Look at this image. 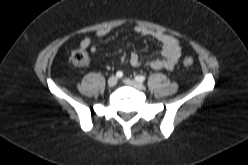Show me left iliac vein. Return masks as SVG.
<instances>
[{
  "mask_svg": "<svg viewBox=\"0 0 248 165\" xmlns=\"http://www.w3.org/2000/svg\"><path fill=\"white\" fill-rule=\"evenodd\" d=\"M123 82L125 84H127V85H129V86H131V87H133L135 89H137V90H144L145 89V86L142 83L137 82V81L132 80V79H129V78H125L123 80Z\"/></svg>",
  "mask_w": 248,
  "mask_h": 165,
  "instance_id": "left-iliac-vein-1",
  "label": "left iliac vein"
}]
</instances>
